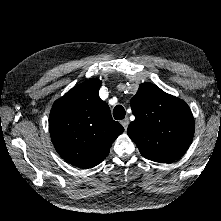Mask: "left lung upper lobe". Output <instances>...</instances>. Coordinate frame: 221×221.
<instances>
[{"label":"left lung upper lobe","instance_id":"left-lung-upper-lobe-1","mask_svg":"<svg viewBox=\"0 0 221 221\" xmlns=\"http://www.w3.org/2000/svg\"><path fill=\"white\" fill-rule=\"evenodd\" d=\"M135 116L127 129L146 159L168 163L180 158L194 135L189 106L151 83H142L131 99Z\"/></svg>","mask_w":221,"mask_h":221}]
</instances>
